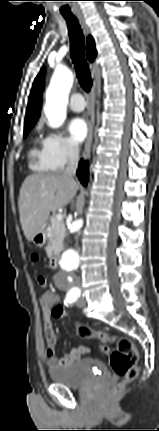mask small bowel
Wrapping results in <instances>:
<instances>
[{
    "instance_id": "small-bowel-1",
    "label": "small bowel",
    "mask_w": 159,
    "mask_h": 431,
    "mask_svg": "<svg viewBox=\"0 0 159 431\" xmlns=\"http://www.w3.org/2000/svg\"><path fill=\"white\" fill-rule=\"evenodd\" d=\"M38 281L42 287L44 288L48 287V281L46 277L39 276ZM50 290L51 289H46L41 294L40 305L43 313L44 329H45V336L47 341L46 355L48 357V367L59 368V367L68 366L73 362L77 361L82 355L86 354L89 351V349L86 346H78V347L72 348L70 352L67 355H65L63 358L59 359L56 357L55 352H56L58 339L51 319L54 306L53 308H49L47 304V297H49ZM56 301H59V297L57 295L55 296V302Z\"/></svg>"
}]
</instances>
